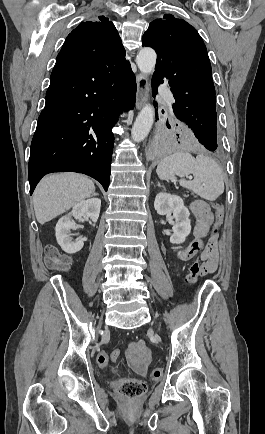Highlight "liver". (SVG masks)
<instances>
[{"label":"liver","instance_id":"1","mask_svg":"<svg viewBox=\"0 0 265 434\" xmlns=\"http://www.w3.org/2000/svg\"><path fill=\"white\" fill-rule=\"evenodd\" d=\"M95 186L92 180L82 174H52L39 182L33 194L35 216L39 224L50 222L64 214L78 202L90 198Z\"/></svg>","mask_w":265,"mask_h":434}]
</instances>
